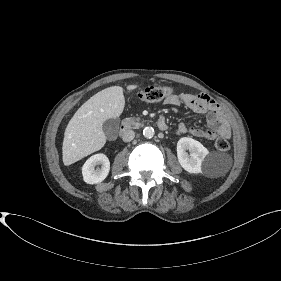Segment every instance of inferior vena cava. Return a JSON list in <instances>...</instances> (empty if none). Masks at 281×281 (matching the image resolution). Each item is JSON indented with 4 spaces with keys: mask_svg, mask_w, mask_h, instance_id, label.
Listing matches in <instances>:
<instances>
[{
    "mask_svg": "<svg viewBox=\"0 0 281 281\" xmlns=\"http://www.w3.org/2000/svg\"><path fill=\"white\" fill-rule=\"evenodd\" d=\"M135 132L132 130H127L122 134V139L124 142H130L134 139Z\"/></svg>",
    "mask_w": 281,
    "mask_h": 281,
    "instance_id": "602c4592",
    "label": "inferior vena cava"
}]
</instances>
